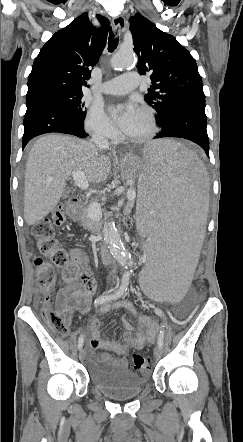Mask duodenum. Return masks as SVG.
Returning <instances> with one entry per match:
<instances>
[{
	"label": "duodenum",
	"mask_w": 243,
	"mask_h": 442,
	"mask_svg": "<svg viewBox=\"0 0 243 442\" xmlns=\"http://www.w3.org/2000/svg\"><path fill=\"white\" fill-rule=\"evenodd\" d=\"M80 207V200L79 199H70L68 203V214L70 215H76L77 210ZM99 257L102 262H111L112 261V255L110 252V249L108 246L103 245L99 250Z\"/></svg>",
	"instance_id": "duodenum-1"
}]
</instances>
